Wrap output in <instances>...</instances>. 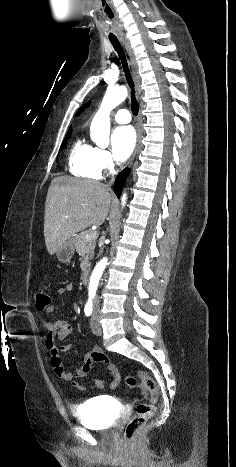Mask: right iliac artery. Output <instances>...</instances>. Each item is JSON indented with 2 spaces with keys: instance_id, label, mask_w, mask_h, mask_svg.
Wrapping results in <instances>:
<instances>
[{
  "instance_id": "1",
  "label": "right iliac artery",
  "mask_w": 236,
  "mask_h": 467,
  "mask_svg": "<svg viewBox=\"0 0 236 467\" xmlns=\"http://www.w3.org/2000/svg\"><path fill=\"white\" fill-rule=\"evenodd\" d=\"M92 311H93L92 303H87L84 308L85 315L90 316L92 314Z\"/></svg>"
}]
</instances>
